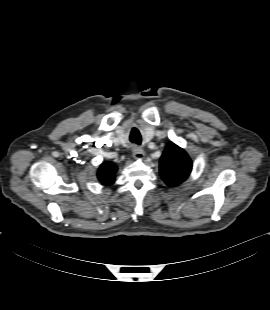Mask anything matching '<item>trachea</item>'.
Instances as JSON below:
<instances>
[{"instance_id":"obj_1","label":"trachea","mask_w":270,"mask_h":310,"mask_svg":"<svg viewBox=\"0 0 270 310\" xmlns=\"http://www.w3.org/2000/svg\"><path fill=\"white\" fill-rule=\"evenodd\" d=\"M130 141L134 144L140 145L142 141L140 134H131Z\"/></svg>"}]
</instances>
